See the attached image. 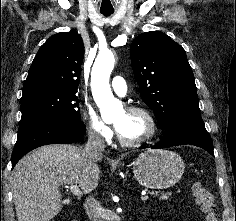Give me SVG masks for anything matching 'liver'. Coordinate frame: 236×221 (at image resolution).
<instances>
[{
	"mask_svg": "<svg viewBox=\"0 0 236 221\" xmlns=\"http://www.w3.org/2000/svg\"><path fill=\"white\" fill-rule=\"evenodd\" d=\"M84 149L53 144L23 157L13 171L12 189L18 221H50L61 210L60 185H79L84 193L100 180L97 162Z\"/></svg>",
	"mask_w": 236,
	"mask_h": 221,
	"instance_id": "6515ba94",
	"label": "liver"
}]
</instances>
